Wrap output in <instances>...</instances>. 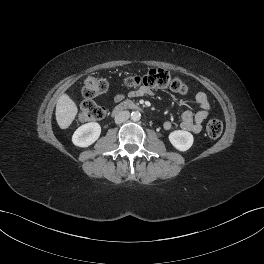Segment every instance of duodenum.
Instances as JSON below:
<instances>
[{
  "label": "duodenum",
  "mask_w": 264,
  "mask_h": 264,
  "mask_svg": "<svg viewBox=\"0 0 264 264\" xmlns=\"http://www.w3.org/2000/svg\"><path fill=\"white\" fill-rule=\"evenodd\" d=\"M130 109H138V106L135 105L131 101H123L115 107V109L112 112V115L116 116V115H118V114H120L126 110H130Z\"/></svg>",
  "instance_id": "obj_1"
}]
</instances>
